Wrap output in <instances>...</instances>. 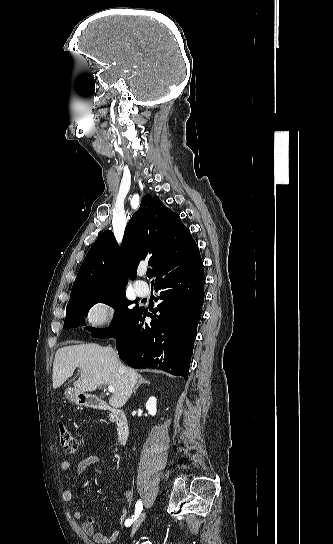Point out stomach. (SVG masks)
<instances>
[{
	"instance_id": "stomach-1",
	"label": "stomach",
	"mask_w": 333,
	"mask_h": 544,
	"mask_svg": "<svg viewBox=\"0 0 333 544\" xmlns=\"http://www.w3.org/2000/svg\"><path fill=\"white\" fill-rule=\"evenodd\" d=\"M81 395L82 393L75 388H68L65 391V397L67 398V400L74 404H83V402H80L82 400L80 398Z\"/></svg>"
}]
</instances>
